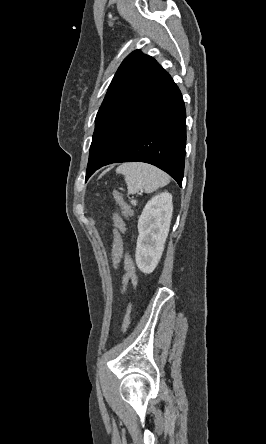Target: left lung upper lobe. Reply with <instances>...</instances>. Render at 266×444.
<instances>
[{"instance_id": "obj_1", "label": "left lung upper lobe", "mask_w": 266, "mask_h": 444, "mask_svg": "<svg viewBox=\"0 0 266 444\" xmlns=\"http://www.w3.org/2000/svg\"><path fill=\"white\" fill-rule=\"evenodd\" d=\"M168 76L151 56L142 54L140 50L129 54L115 73L99 108L94 134L111 115L144 95Z\"/></svg>"}]
</instances>
